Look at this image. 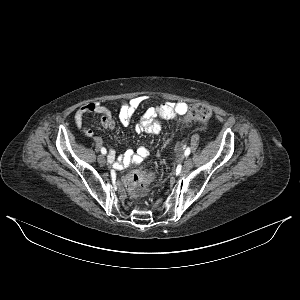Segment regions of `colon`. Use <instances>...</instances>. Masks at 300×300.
Instances as JSON below:
<instances>
[{"label":"colon","mask_w":300,"mask_h":300,"mask_svg":"<svg viewBox=\"0 0 300 300\" xmlns=\"http://www.w3.org/2000/svg\"><path fill=\"white\" fill-rule=\"evenodd\" d=\"M211 116L210 108L202 103H194L190 106L189 111L185 117L187 121H196L205 123ZM158 181L159 175L153 174L152 177L146 172H133L126 176L124 186L133 198H140L149 192V183L151 181Z\"/></svg>","instance_id":"colon-1"}]
</instances>
